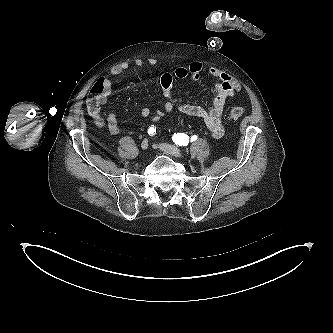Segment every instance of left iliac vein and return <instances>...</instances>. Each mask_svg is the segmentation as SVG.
<instances>
[{
	"label": "left iliac vein",
	"mask_w": 333,
	"mask_h": 333,
	"mask_svg": "<svg viewBox=\"0 0 333 333\" xmlns=\"http://www.w3.org/2000/svg\"><path fill=\"white\" fill-rule=\"evenodd\" d=\"M159 148L165 153L177 158H182L184 156L183 152L179 148L170 144L166 143L160 144Z\"/></svg>",
	"instance_id": "left-iliac-vein-1"
}]
</instances>
